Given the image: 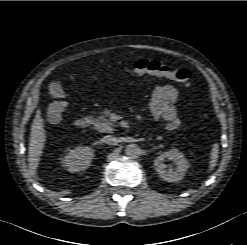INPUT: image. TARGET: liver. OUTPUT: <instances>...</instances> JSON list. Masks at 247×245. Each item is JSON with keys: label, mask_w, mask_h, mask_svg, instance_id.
<instances>
[{"label": "liver", "mask_w": 247, "mask_h": 245, "mask_svg": "<svg viewBox=\"0 0 247 245\" xmlns=\"http://www.w3.org/2000/svg\"><path fill=\"white\" fill-rule=\"evenodd\" d=\"M46 141V133L44 129L43 119L40 111H37L35 118L31 125V133L28 147V167L29 173L37 178V168L41 160L43 149Z\"/></svg>", "instance_id": "6515ba94"}]
</instances>
